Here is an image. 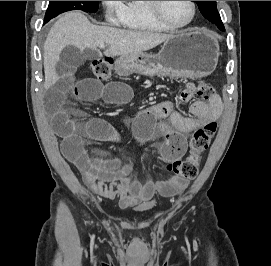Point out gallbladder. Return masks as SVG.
<instances>
[{
    "mask_svg": "<svg viewBox=\"0 0 271 266\" xmlns=\"http://www.w3.org/2000/svg\"><path fill=\"white\" fill-rule=\"evenodd\" d=\"M99 57V53L92 49H86L81 52L77 47L66 46L61 54L60 59L56 64V72L63 77L72 76L78 67L83 65L85 61L93 60Z\"/></svg>",
    "mask_w": 271,
    "mask_h": 266,
    "instance_id": "gallbladder-1",
    "label": "gallbladder"
}]
</instances>
